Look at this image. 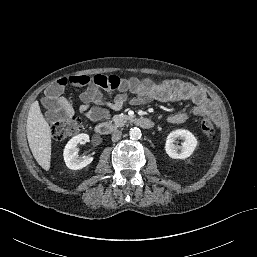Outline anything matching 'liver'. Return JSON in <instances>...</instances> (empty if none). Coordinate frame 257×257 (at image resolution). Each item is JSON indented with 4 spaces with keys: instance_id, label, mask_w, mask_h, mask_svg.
I'll return each mask as SVG.
<instances>
[{
    "instance_id": "6515ba94",
    "label": "liver",
    "mask_w": 257,
    "mask_h": 257,
    "mask_svg": "<svg viewBox=\"0 0 257 257\" xmlns=\"http://www.w3.org/2000/svg\"><path fill=\"white\" fill-rule=\"evenodd\" d=\"M30 150L38 164L46 171L51 161V127L45 120L38 101H34L28 112L26 125Z\"/></svg>"
}]
</instances>
